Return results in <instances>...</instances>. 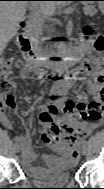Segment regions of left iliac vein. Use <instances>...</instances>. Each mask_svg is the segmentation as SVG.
Wrapping results in <instances>:
<instances>
[{
    "label": "left iliac vein",
    "instance_id": "4c4485c4",
    "mask_svg": "<svg viewBox=\"0 0 104 189\" xmlns=\"http://www.w3.org/2000/svg\"><path fill=\"white\" fill-rule=\"evenodd\" d=\"M81 154H82L83 156L87 155V149H86V148H82V149H81Z\"/></svg>",
    "mask_w": 104,
    "mask_h": 189
}]
</instances>
